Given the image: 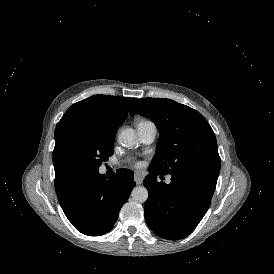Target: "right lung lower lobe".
Returning <instances> with one entry per match:
<instances>
[{
  "mask_svg": "<svg viewBox=\"0 0 274 274\" xmlns=\"http://www.w3.org/2000/svg\"><path fill=\"white\" fill-rule=\"evenodd\" d=\"M134 186L133 172L119 169L108 180L98 171L76 174L55 189L72 225L85 235L99 236L113 228Z\"/></svg>",
  "mask_w": 274,
  "mask_h": 274,
  "instance_id": "right-lung-lower-lobe-1",
  "label": "right lung lower lobe"
}]
</instances>
